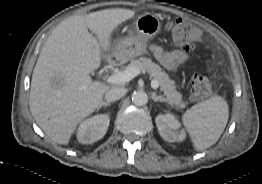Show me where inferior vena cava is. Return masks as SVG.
Wrapping results in <instances>:
<instances>
[{
  "label": "inferior vena cava",
  "mask_w": 262,
  "mask_h": 184,
  "mask_svg": "<svg viewBox=\"0 0 262 184\" xmlns=\"http://www.w3.org/2000/svg\"><path fill=\"white\" fill-rule=\"evenodd\" d=\"M126 93V89L123 87H114L108 90L105 94V98L109 102H114L123 97Z\"/></svg>",
  "instance_id": "1"
}]
</instances>
